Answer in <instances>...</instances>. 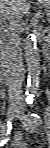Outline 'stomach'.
Returning a JSON list of instances; mask_svg holds the SVG:
<instances>
[{"label": "stomach", "instance_id": "stomach-1", "mask_svg": "<svg viewBox=\"0 0 50 148\" xmlns=\"http://www.w3.org/2000/svg\"><path fill=\"white\" fill-rule=\"evenodd\" d=\"M43 3H45L46 5H50V2L48 0H43Z\"/></svg>", "mask_w": 50, "mask_h": 148}]
</instances>
